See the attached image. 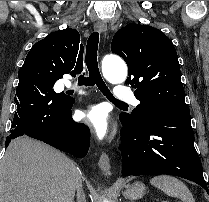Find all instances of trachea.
Instances as JSON below:
<instances>
[{
    "label": "trachea",
    "mask_w": 209,
    "mask_h": 202,
    "mask_svg": "<svg viewBox=\"0 0 209 202\" xmlns=\"http://www.w3.org/2000/svg\"><path fill=\"white\" fill-rule=\"evenodd\" d=\"M98 43H99V33L93 32L87 41L86 46V56L85 62L87 69L89 71L88 77L80 76L78 78V85L79 86H94L96 85L98 89L102 92L103 95L107 97L112 103L115 104H125L114 98L108 87L106 86L105 82L102 79L98 68L97 62V51H98Z\"/></svg>",
    "instance_id": "1"
}]
</instances>
